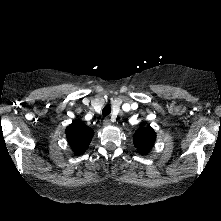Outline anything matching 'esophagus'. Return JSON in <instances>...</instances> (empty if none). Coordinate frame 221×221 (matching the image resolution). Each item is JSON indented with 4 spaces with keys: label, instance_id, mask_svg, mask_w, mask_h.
<instances>
[{
    "label": "esophagus",
    "instance_id": "esophagus-1",
    "mask_svg": "<svg viewBox=\"0 0 221 221\" xmlns=\"http://www.w3.org/2000/svg\"><path fill=\"white\" fill-rule=\"evenodd\" d=\"M103 124H104L105 126H110V125H111V120L108 119V118H106V119H104Z\"/></svg>",
    "mask_w": 221,
    "mask_h": 221
}]
</instances>
